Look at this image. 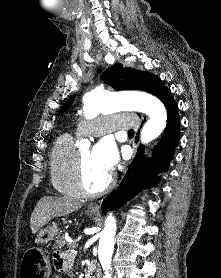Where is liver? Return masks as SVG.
<instances>
[{
    "instance_id": "1",
    "label": "liver",
    "mask_w": 221,
    "mask_h": 278,
    "mask_svg": "<svg viewBox=\"0 0 221 278\" xmlns=\"http://www.w3.org/2000/svg\"><path fill=\"white\" fill-rule=\"evenodd\" d=\"M81 207L82 203L68 197H42L30 217L32 233L36 234L51 219L66 216Z\"/></svg>"
}]
</instances>
